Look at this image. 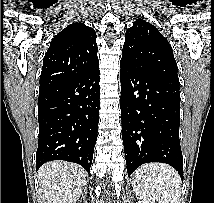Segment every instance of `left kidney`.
Wrapping results in <instances>:
<instances>
[{
  "instance_id": "5707ae66",
  "label": "left kidney",
  "mask_w": 214,
  "mask_h": 203,
  "mask_svg": "<svg viewBox=\"0 0 214 203\" xmlns=\"http://www.w3.org/2000/svg\"><path fill=\"white\" fill-rule=\"evenodd\" d=\"M137 203H147L146 201H138Z\"/></svg>"
}]
</instances>
